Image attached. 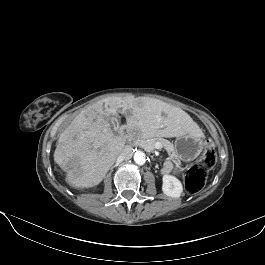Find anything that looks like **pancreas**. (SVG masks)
<instances>
[{"mask_svg": "<svg viewBox=\"0 0 265 265\" xmlns=\"http://www.w3.org/2000/svg\"><path fill=\"white\" fill-rule=\"evenodd\" d=\"M159 142L162 147L168 152V155L170 156L171 160L174 161L175 163H178V158L175 152V147L174 145L161 137H154L150 139H138L137 144L145 149L148 152H153L155 150V144Z\"/></svg>", "mask_w": 265, "mask_h": 265, "instance_id": "pancreas-1", "label": "pancreas"}]
</instances>
